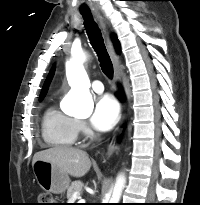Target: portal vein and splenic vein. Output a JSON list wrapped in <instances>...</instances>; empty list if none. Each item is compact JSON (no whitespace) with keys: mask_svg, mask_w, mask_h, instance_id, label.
<instances>
[{"mask_svg":"<svg viewBox=\"0 0 200 205\" xmlns=\"http://www.w3.org/2000/svg\"><path fill=\"white\" fill-rule=\"evenodd\" d=\"M80 198V192H74L70 201H75Z\"/></svg>","mask_w":200,"mask_h":205,"instance_id":"18ae733b","label":"portal vein and splenic vein"}]
</instances>
